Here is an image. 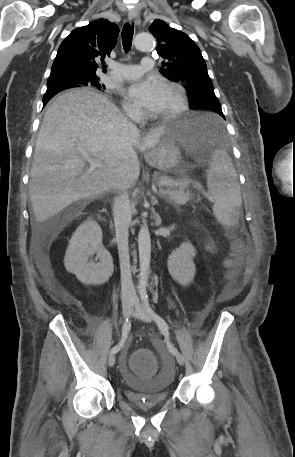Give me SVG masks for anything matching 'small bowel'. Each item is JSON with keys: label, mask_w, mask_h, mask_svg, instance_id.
I'll list each match as a JSON object with an SVG mask.
<instances>
[{"label": "small bowel", "mask_w": 295, "mask_h": 457, "mask_svg": "<svg viewBox=\"0 0 295 457\" xmlns=\"http://www.w3.org/2000/svg\"><path fill=\"white\" fill-rule=\"evenodd\" d=\"M204 248L206 251H209V252H212L215 250V247L210 242H205ZM240 289H241V287L239 284H237L236 282H230L228 284V286L226 287V295L228 297H233L240 292Z\"/></svg>", "instance_id": "c3829d8e"}]
</instances>
